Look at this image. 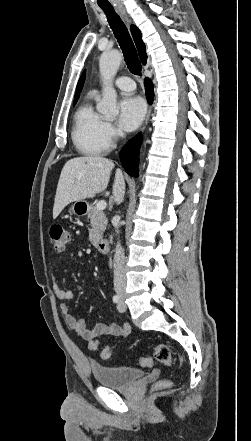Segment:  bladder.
Instances as JSON below:
<instances>
[{"label": "bladder", "instance_id": "1", "mask_svg": "<svg viewBox=\"0 0 251 441\" xmlns=\"http://www.w3.org/2000/svg\"><path fill=\"white\" fill-rule=\"evenodd\" d=\"M92 374L102 386L126 389L144 376V371L134 367H112L100 364L91 366Z\"/></svg>", "mask_w": 251, "mask_h": 441}]
</instances>
